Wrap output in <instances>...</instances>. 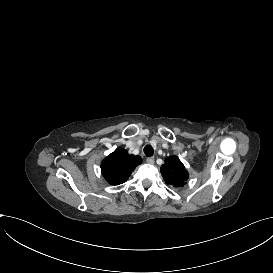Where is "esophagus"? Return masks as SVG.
<instances>
[{"mask_svg": "<svg viewBox=\"0 0 273 273\" xmlns=\"http://www.w3.org/2000/svg\"><path fill=\"white\" fill-rule=\"evenodd\" d=\"M146 162L149 163V164H154V157H148L146 159Z\"/></svg>", "mask_w": 273, "mask_h": 273, "instance_id": "esophagus-1", "label": "esophagus"}]
</instances>
